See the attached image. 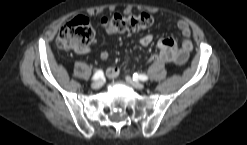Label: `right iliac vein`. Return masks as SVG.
<instances>
[{
    "label": "right iliac vein",
    "instance_id": "obj_1",
    "mask_svg": "<svg viewBox=\"0 0 247 145\" xmlns=\"http://www.w3.org/2000/svg\"><path fill=\"white\" fill-rule=\"evenodd\" d=\"M102 84H103L102 80H97L91 84V87L93 89H99L101 88Z\"/></svg>",
    "mask_w": 247,
    "mask_h": 145
}]
</instances>
